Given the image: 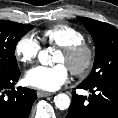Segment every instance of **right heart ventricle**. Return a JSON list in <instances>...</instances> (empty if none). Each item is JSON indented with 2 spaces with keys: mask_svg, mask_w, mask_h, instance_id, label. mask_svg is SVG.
Instances as JSON below:
<instances>
[{
  "mask_svg": "<svg viewBox=\"0 0 118 118\" xmlns=\"http://www.w3.org/2000/svg\"><path fill=\"white\" fill-rule=\"evenodd\" d=\"M42 42L59 47L81 42L83 33L76 27L68 24H55L44 29L40 34Z\"/></svg>",
  "mask_w": 118,
  "mask_h": 118,
  "instance_id": "obj_1",
  "label": "right heart ventricle"
}]
</instances>
